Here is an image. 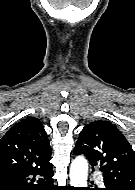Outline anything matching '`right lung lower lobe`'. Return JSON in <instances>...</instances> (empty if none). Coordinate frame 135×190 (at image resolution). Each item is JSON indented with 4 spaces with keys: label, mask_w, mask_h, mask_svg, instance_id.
I'll list each match as a JSON object with an SVG mask.
<instances>
[{
    "label": "right lung lower lobe",
    "mask_w": 135,
    "mask_h": 190,
    "mask_svg": "<svg viewBox=\"0 0 135 190\" xmlns=\"http://www.w3.org/2000/svg\"><path fill=\"white\" fill-rule=\"evenodd\" d=\"M52 164L46 168H19L0 172V190H58L52 181Z\"/></svg>",
    "instance_id": "1"
}]
</instances>
